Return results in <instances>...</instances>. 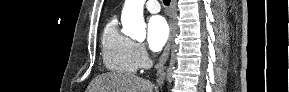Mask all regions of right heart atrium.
<instances>
[{"mask_svg": "<svg viewBox=\"0 0 289 92\" xmlns=\"http://www.w3.org/2000/svg\"><path fill=\"white\" fill-rule=\"evenodd\" d=\"M133 55L138 68H143L148 65L149 55L142 43H134Z\"/></svg>", "mask_w": 289, "mask_h": 92, "instance_id": "d8ad5b80", "label": "right heart atrium"}]
</instances>
